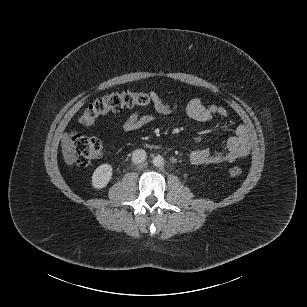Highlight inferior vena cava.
<instances>
[{
	"label": "inferior vena cava",
	"mask_w": 307,
	"mask_h": 307,
	"mask_svg": "<svg viewBox=\"0 0 307 307\" xmlns=\"http://www.w3.org/2000/svg\"><path fill=\"white\" fill-rule=\"evenodd\" d=\"M147 159L145 150L136 149L133 151L132 161L136 164L143 163Z\"/></svg>",
	"instance_id": "602c4592"
}]
</instances>
